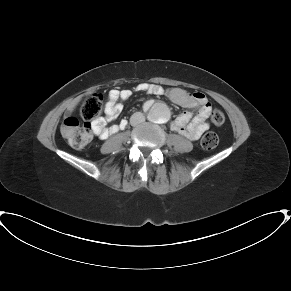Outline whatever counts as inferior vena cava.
<instances>
[{"label": "inferior vena cava", "instance_id": "inferior-vena-cava-1", "mask_svg": "<svg viewBox=\"0 0 291 291\" xmlns=\"http://www.w3.org/2000/svg\"><path fill=\"white\" fill-rule=\"evenodd\" d=\"M145 121V116L141 112L134 113L130 118V124L137 126Z\"/></svg>", "mask_w": 291, "mask_h": 291}]
</instances>
